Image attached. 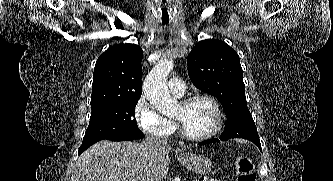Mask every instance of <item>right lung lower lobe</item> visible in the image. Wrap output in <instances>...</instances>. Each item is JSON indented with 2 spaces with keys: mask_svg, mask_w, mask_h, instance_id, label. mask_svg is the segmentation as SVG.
Returning a JSON list of instances; mask_svg holds the SVG:
<instances>
[{
  "mask_svg": "<svg viewBox=\"0 0 333 181\" xmlns=\"http://www.w3.org/2000/svg\"><path fill=\"white\" fill-rule=\"evenodd\" d=\"M96 143V142H95ZM94 144V143H93ZM92 144L90 145H86V146H81L79 149V154H81L83 151H85L88 147H90Z\"/></svg>",
  "mask_w": 333,
  "mask_h": 181,
  "instance_id": "1",
  "label": "right lung lower lobe"
}]
</instances>
